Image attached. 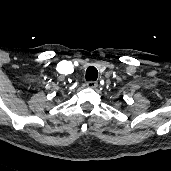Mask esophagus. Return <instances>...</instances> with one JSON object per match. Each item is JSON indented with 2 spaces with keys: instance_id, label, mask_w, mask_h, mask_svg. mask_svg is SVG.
<instances>
[{
  "instance_id": "esophagus-1",
  "label": "esophagus",
  "mask_w": 171,
  "mask_h": 171,
  "mask_svg": "<svg viewBox=\"0 0 171 171\" xmlns=\"http://www.w3.org/2000/svg\"><path fill=\"white\" fill-rule=\"evenodd\" d=\"M86 85H87L88 88H92L93 89V88H96L98 86V83L96 81L91 80V81H88L86 83Z\"/></svg>"
}]
</instances>
